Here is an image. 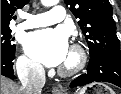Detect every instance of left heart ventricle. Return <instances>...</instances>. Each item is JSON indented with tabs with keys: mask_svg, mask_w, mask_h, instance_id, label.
<instances>
[{
	"mask_svg": "<svg viewBox=\"0 0 121 94\" xmlns=\"http://www.w3.org/2000/svg\"><path fill=\"white\" fill-rule=\"evenodd\" d=\"M73 61H74V56H73L72 52L69 51L65 61L62 63V66L70 65L73 63Z\"/></svg>",
	"mask_w": 121,
	"mask_h": 94,
	"instance_id": "1",
	"label": "left heart ventricle"
}]
</instances>
